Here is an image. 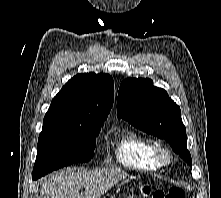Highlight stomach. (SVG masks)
<instances>
[{
    "label": "stomach",
    "mask_w": 221,
    "mask_h": 198,
    "mask_svg": "<svg viewBox=\"0 0 221 198\" xmlns=\"http://www.w3.org/2000/svg\"><path fill=\"white\" fill-rule=\"evenodd\" d=\"M104 198H115V197H113V196H110V197H109V196H108V197H104Z\"/></svg>",
    "instance_id": "1"
}]
</instances>
